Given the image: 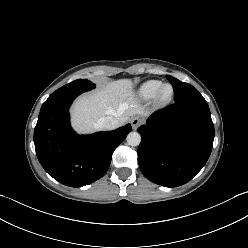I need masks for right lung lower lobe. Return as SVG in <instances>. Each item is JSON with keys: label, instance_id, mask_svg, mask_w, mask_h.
Returning <instances> with one entry per match:
<instances>
[{"label": "right lung lower lobe", "instance_id": "1", "mask_svg": "<svg viewBox=\"0 0 248 248\" xmlns=\"http://www.w3.org/2000/svg\"><path fill=\"white\" fill-rule=\"evenodd\" d=\"M83 89H58L43 103L34 130L37 158L58 182L81 187L101 178L114 150L132 130L130 124L92 135L76 134L69 123V107Z\"/></svg>", "mask_w": 248, "mask_h": 248}]
</instances>
